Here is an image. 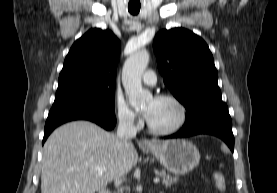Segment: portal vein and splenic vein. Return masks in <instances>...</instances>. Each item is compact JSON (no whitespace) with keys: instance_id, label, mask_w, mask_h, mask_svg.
Segmentation results:
<instances>
[{"instance_id":"obj_1","label":"portal vein and splenic vein","mask_w":277,"mask_h":193,"mask_svg":"<svg viewBox=\"0 0 277 193\" xmlns=\"http://www.w3.org/2000/svg\"><path fill=\"white\" fill-rule=\"evenodd\" d=\"M94 170L98 171L99 173H103L107 170L106 167H94ZM154 183H159L160 182V178L159 177H156L154 178Z\"/></svg>"}]
</instances>
